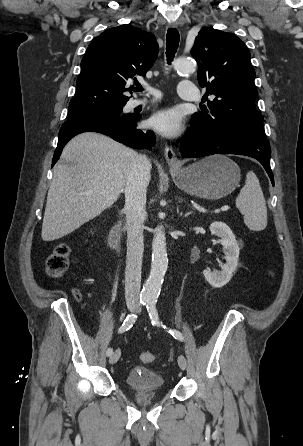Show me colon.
<instances>
[{
	"label": "colon",
	"mask_w": 303,
	"mask_h": 446,
	"mask_svg": "<svg viewBox=\"0 0 303 446\" xmlns=\"http://www.w3.org/2000/svg\"><path fill=\"white\" fill-rule=\"evenodd\" d=\"M70 262V247L67 244L58 245L54 251L46 258V272L51 277L62 276L69 267ZM76 296L79 293L75 291ZM143 363L150 364L156 360V355L153 352L145 351L140 355Z\"/></svg>",
	"instance_id": "5ec220e1"
}]
</instances>
